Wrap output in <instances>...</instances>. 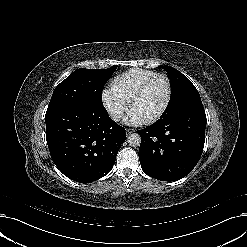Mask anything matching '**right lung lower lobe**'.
I'll return each mask as SVG.
<instances>
[{"mask_svg":"<svg viewBox=\"0 0 247 247\" xmlns=\"http://www.w3.org/2000/svg\"><path fill=\"white\" fill-rule=\"evenodd\" d=\"M46 140L58 169L90 183L107 175L126 139L103 106H62L46 112Z\"/></svg>","mask_w":247,"mask_h":247,"instance_id":"right-lung-lower-lobe-1","label":"right lung lower lobe"}]
</instances>
